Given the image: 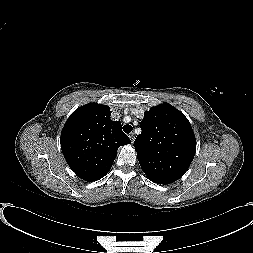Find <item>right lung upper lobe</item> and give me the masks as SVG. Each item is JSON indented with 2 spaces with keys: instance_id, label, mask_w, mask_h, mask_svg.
I'll return each instance as SVG.
<instances>
[{
  "instance_id": "1",
  "label": "right lung upper lobe",
  "mask_w": 253,
  "mask_h": 253,
  "mask_svg": "<svg viewBox=\"0 0 253 253\" xmlns=\"http://www.w3.org/2000/svg\"><path fill=\"white\" fill-rule=\"evenodd\" d=\"M110 108L86 104L66 121L60 138L63 155L80 178L92 182L104 177L112 167L120 146L130 144L121 123L110 119Z\"/></svg>"
}]
</instances>
